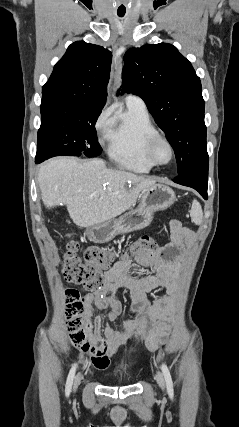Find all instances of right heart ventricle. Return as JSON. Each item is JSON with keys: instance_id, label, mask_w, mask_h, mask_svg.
Instances as JSON below:
<instances>
[{"instance_id": "e07e8e85", "label": "right heart ventricle", "mask_w": 239, "mask_h": 427, "mask_svg": "<svg viewBox=\"0 0 239 427\" xmlns=\"http://www.w3.org/2000/svg\"><path fill=\"white\" fill-rule=\"evenodd\" d=\"M158 133L146 108L127 105L111 119L105 134L107 154L121 167L138 173H146L154 165L146 155L149 138Z\"/></svg>"}]
</instances>
